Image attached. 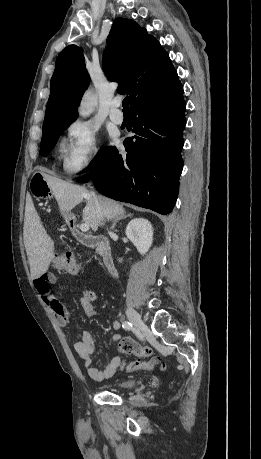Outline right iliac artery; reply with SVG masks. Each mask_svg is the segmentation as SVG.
Masks as SVG:
<instances>
[{
    "label": "right iliac artery",
    "mask_w": 261,
    "mask_h": 459,
    "mask_svg": "<svg viewBox=\"0 0 261 459\" xmlns=\"http://www.w3.org/2000/svg\"><path fill=\"white\" fill-rule=\"evenodd\" d=\"M122 327H123L125 330H131L132 324H131L130 322H128V321H124V322L122 323Z\"/></svg>",
    "instance_id": "obj_1"
}]
</instances>
